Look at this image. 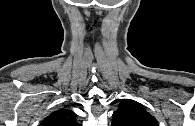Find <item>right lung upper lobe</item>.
<instances>
[{"label": "right lung upper lobe", "mask_w": 195, "mask_h": 126, "mask_svg": "<svg viewBox=\"0 0 195 126\" xmlns=\"http://www.w3.org/2000/svg\"><path fill=\"white\" fill-rule=\"evenodd\" d=\"M40 126H80L76 121V114L62 108L47 116Z\"/></svg>", "instance_id": "obj_1"}]
</instances>
